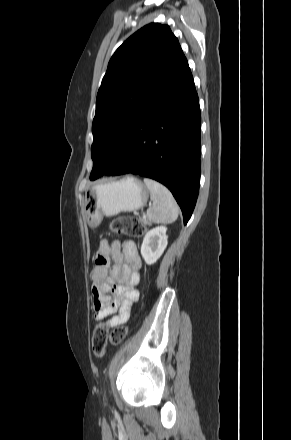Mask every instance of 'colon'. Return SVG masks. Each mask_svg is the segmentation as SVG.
Returning a JSON list of instances; mask_svg holds the SVG:
<instances>
[{
  "label": "colon",
  "instance_id": "5ec220e1",
  "mask_svg": "<svg viewBox=\"0 0 291 440\" xmlns=\"http://www.w3.org/2000/svg\"><path fill=\"white\" fill-rule=\"evenodd\" d=\"M111 231L114 234H127L135 238L142 237L145 233L144 224L134 216L125 215L115 218L111 223ZM127 335V330L124 327L115 328L110 339L112 343H120ZM108 340V333L103 323H100L94 330L91 337V346L93 353L97 357H102L105 353V348Z\"/></svg>",
  "mask_w": 291,
  "mask_h": 440
}]
</instances>
